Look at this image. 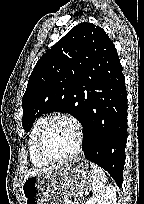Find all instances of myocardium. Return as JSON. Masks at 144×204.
Here are the masks:
<instances>
[{
	"label": "myocardium",
	"instance_id": "myocardium-1",
	"mask_svg": "<svg viewBox=\"0 0 144 204\" xmlns=\"http://www.w3.org/2000/svg\"><path fill=\"white\" fill-rule=\"evenodd\" d=\"M67 121L70 124L73 125L75 132H76V144L74 150L63 157H52L48 155L43 147V141L45 138V135L49 129V127L54 123L55 121ZM84 141V132L81 122L74 116L69 114H55L46 119L44 124L42 125L36 139V150L38 155L45 160L48 163H62L69 160L74 159L79 155V153L82 150Z\"/></svg>",
	"mask_w": 144,
	"mask_h": 204
}]
</instances>
